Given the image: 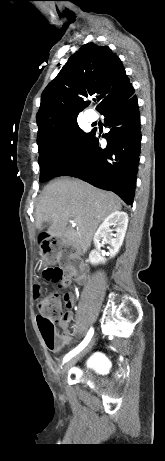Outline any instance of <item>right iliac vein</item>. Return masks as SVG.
Wrapping results in <instances>:
<instances>
[{
  "instance_id": "obj_1",
  "label": "right iliac vein",
  "mask_w": 165,
  "mask_h": 461,
  "mask_svg": "<svg viewBox=\"0 0 165 461\" xmlns=\"http://www.w3.org/2000/svg\"><path fill=\"white\" fill-rule=\"evenodd\" d=\"M94 343H95V339L93 338L82 351H80L77 355H75L70 360H68L63 367V372L69 371V369L72 366H74L78 360L84 357L92 349Z\"/></svg>"
}]
</instances>
